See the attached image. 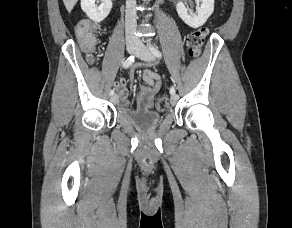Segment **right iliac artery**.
Returning <instances> with one entry per match:
<instances>
[{"label": "right iliac artery", "mask_w": 292, "mask_h": 228, "mask_svg": "<svg viewBox=\"0 0 292 228\" xmlns=\"http://www.w3.org/2000/svg\"><path fill=\"white\" fill-rule=\"evenodd\" d=\"M134 61H135V56H130V57H128L124 62H123V64H122V66L124 67V68H128V67H130L133 63H134ZM110 95H114V90L112 89V90H110Z\"/></svg>", "instance_id": "82829eb1"}]
</instances>
